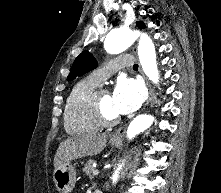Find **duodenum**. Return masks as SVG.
Wrapping results in <instances>:
<instances>
[{
	"label": "duodenum",
	"instance_id": "1",
	"mask_svg": "<svg viewBox=\"0 0 221 193\" xmlns=\"http://www.w3.org/2000/svg\"><path fill=\"white\" fill-rule=\"evenodd\" d=\"M93 193H102L101 191H99V190H96V191H94Z\"/></svg>",
	"mask_w": 221,
	"mask_h": 193
}]
</instances>
